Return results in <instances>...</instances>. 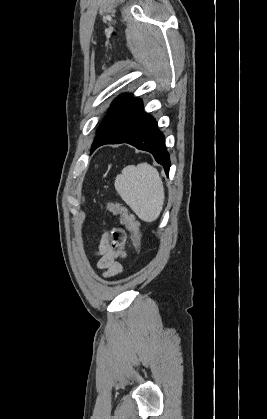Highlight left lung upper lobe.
Returning <instances> with one entry per match:
<instances>
[{
  "instance_id": "obj_1",
  "label": "left lung upper lobe",
  "mask_w": 267,
  "mask_h": 419,
  "mask_svg": "<svg viewBox=\"0 0 267 419\" xmlns=\"http://www.w3.org/2000/svg\"><path fill=\"white\" fill-rule=\"evenodd\" d=\"M134 100L135 98H133L132 95L122 94L113 101L106 118L103 120V122L101 123V125L99 126L97 130V134H96L94 142L97 141L103 134H105L109 130V128L113 125L115 113L127 108L132 102H134Z\"/></svg>"
}]
</instances>
